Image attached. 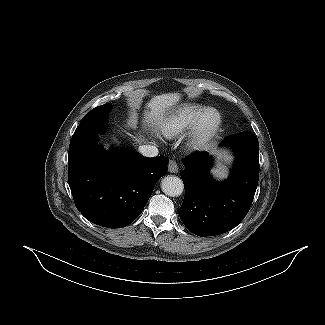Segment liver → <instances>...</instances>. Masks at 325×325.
<instances>
[{
  "label": "liver",
  "mask_w": 325,
  "mask_h": 325,
  "mask_svg": "<svg viewBox=\"0 0 325 325\" xmlns=\"http://www.w3.org/2000/svg\"><path fill=\"white\" fill-rule=\"evenodd\" d=\"M181 98L179 93H168L155 96L148 103V107L151 109L149 113L145 114V121L154 126L164 120V116L173 106H175ZM137 143H141L143 140L136 138Z\"/></svg>",
  "instance_id": "obj_1"
}]
</instances>
